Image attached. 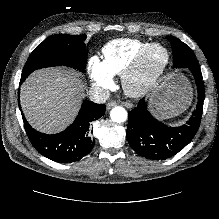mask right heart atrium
<instances>
[{
    "mask_svg": "<svg viewBox=\"0 0 219 219\" xmlns=\"http://www.w3.org/2000/svg\"><path fill=\"white\" fill-rule=\"evenodd\" d=\"M88 73L93 84V88L97 91H104L112 82L109 71L104 66L102 60L93 56L88 62Z\"/></svg>",
    "mask_w": 219,
    "mask_h": 219,
    "instance_id": "right-heart-atrium-1",
    "label": "right heart atrium"
}]
</instances>
